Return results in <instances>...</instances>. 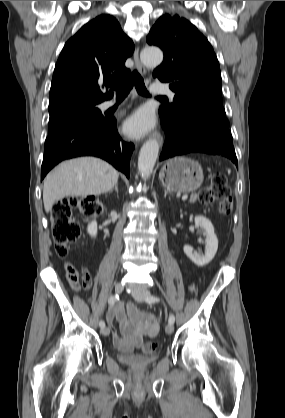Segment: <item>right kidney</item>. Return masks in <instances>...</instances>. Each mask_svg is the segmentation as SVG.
<instances>
[{"mask_svg":"<svg viewBox=\"0 0 285 418\" xmlns=\"http://www.w3.org/2000/svg\"><path fill=\"white\" fill-rule=\"evenodd\" d=\"M87 231L91 237H96L97 235V222L92 221L90 224H88Z\"/></svg>","mask_w":285,"mask_h":418,"instance_id":"1","label":"right kidney"}]
</instances>
